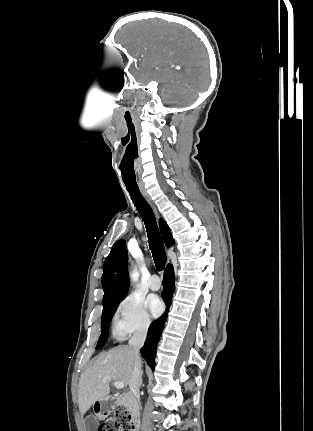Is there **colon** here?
Returning <instances> with one entry per match:
<instances>
[{"label": "colon", "instance_id": "colon-1", "mask_svg": "<svg viewBox=\"0 0 313 431\" xmlns=\"http://www.w3.org/2000/svg\"><path fill=\"white\" fill-rule=\"evenodd\" d=\"M131 413L125 406H118L112 415L102 423L98 431H131Z\"/></svg>", "mask_w": 313, "mask_h": 431}]
</instances>
